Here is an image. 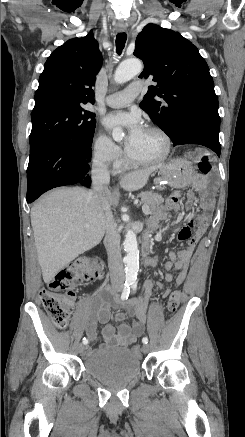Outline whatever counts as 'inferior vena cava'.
<instances>
[{"label":"inferior vena cava","instance_id":"1","mask_svg":"<svg viewBox=\"0 0 245 437\" xmlns=\"http://www.w3.org/2000/svg\"><path fill=\"white\" fill-rule=\"evenodd\" d=\"M91 177L94 191L101 196V205L106 217L104 245L108 255L111 284L113 286H123L125 274L120 249V236L115 231V224L110 208L111 204L106 197L110 175L105 160L101 158L93 159Z\"/></svg>","mask_w":245,"mask_h":437}]
</instances>
